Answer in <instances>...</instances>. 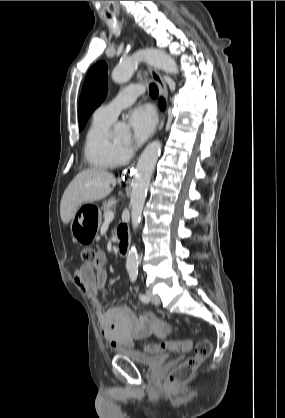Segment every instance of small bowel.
<instances>
[{
  "label": "small bowel",
  "mask_w": 285,
  "mask_h": 418,
  "mask_svg": "<svg viewBox=\"0 0 285 418\" xmlns=\"http://www.w3.org/2000/svg\"><path fill=\"white\" fill-rule=\"evenodd\" d=\"M105 266L106 256L103 252H98L93 263L83 264L73 276L76 285L91 300L102 335L116 348L132 347L135 339L150 336L165 338L169 335L170 325L150 312L137 315L125 306L104 309L98 292L107 287Z\"/></svg>",
  "instance_id": "small-bowel-1"
}]
</instances>
